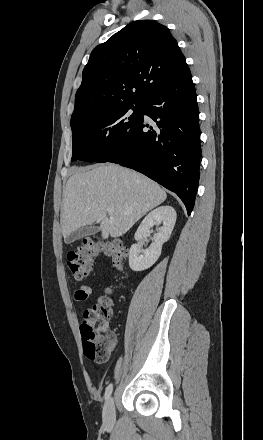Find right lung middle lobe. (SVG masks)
Segmentation results:
<instances>
[{
	"mask_svg": "<svg viewBox=\"0 0 263 440\" xmlns=\"http://www.w3.org/2000/svg\"><path fill=\"white\" fill-rule=\"evenodd\" d=\"M142 118L141 103H129L102 109L81 117L71 127L73 153L76 159L96 161L131 133Z\"/></svg>",
	"mask_w": 263,
	"mask_h": 440,
	"instance_id": "dd1d6c3e",
	"label": "right lung middle lobe"
}]
</instances>
